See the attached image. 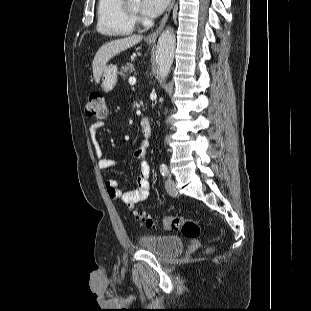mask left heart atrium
<instances>
[{
	"mask_svg": "<svg viewBox=\"0 0 311 311\" xmlns=\"http://www.w3.org/2000/svg\"><path fill=\"white\" fill-rule=\"evenodd\" d=\"M170 0H143L141 12L147 17H156L168 6Z\"/></svg>",
	"mask_w": 311,
	"mask_h": 311,
	"instance_id": "obj_1",
	"label": "left heart atrium"
}]
</instances>
